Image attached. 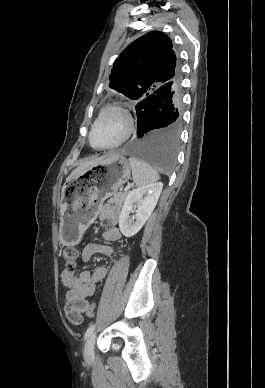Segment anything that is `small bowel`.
I'll return each instance as SVG.
<instances>
[{"mask_svg": "<svg viewBox=\"0 0 265 388\" xmlns=\"http://www.w3.org/2000/svg\"><path fill=\"white\" fill-rule=\"evenodd\" d=\"M120 215L121 210L118 206L103 205L100 208L99 219L109 224L103 233L106 242H116L121 238V232L117 227ZM114 252L110 245L89 243L83 248L81 259L83 262H88L96 254L111 256ZM107 273L108 269L102 266L92 270H83L78 275L66 268L62 271L61 280L66 287L64 311L71 323L75 325L81 323L84 309L89 304L88 298L94 295L96 284L102 281Z\"/></svg>", "mask_w": 265, "mask_h": 388, "instance_id": "c3829d8e", "label": "small bowel"}]
</instances>
